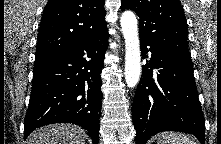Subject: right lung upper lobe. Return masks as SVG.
I'll use <instances>...</instances> for the list:
<instances>
[{"label": "right lung upper lobe", "instance_id": "obj_1", "mask_svg": "<svg viewBox=\"0 0 221 144\" xmlns=\"http://www.w3.org/2000/svg\"><path fill=\"white\" fill-rule=\"evenodd\" d=\"M105 0H49L35 56H54L107 30Z\"/></svg>", "mask_w": 221, "mask_h": 144}]
</instances>
